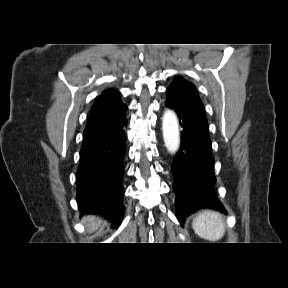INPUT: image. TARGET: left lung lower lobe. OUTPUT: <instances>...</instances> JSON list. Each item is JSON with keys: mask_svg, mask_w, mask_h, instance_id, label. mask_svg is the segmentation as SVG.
<instances>
[{"mask_svg": "<svg viewBox=\"0 0 288 288\" xmlns=\"http://www.w3.org/2000/svg\"><path fill=\"white\" fill-rule=\"evenodd\" d=\"M165 105L177 112L182 127L181 147L171 169L178 221L183 226L200 208L226 213L214 192V158L202 101L167 93Z\"/></svg>", "mask_w": 288, "mask_h": 288, "instance_id": "left-lung-lower-lobe-1", "label": "left lung lower lobe"}]
</instances>
